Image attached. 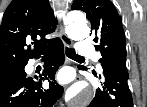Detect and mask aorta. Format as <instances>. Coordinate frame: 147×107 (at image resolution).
Returning <instances> with one entry per match:
<instances>
[{
  "mask_svg": "<svg viewBox=\"0 0 147 107\" xmlns=\"http://www.w3.org/2000/svg\"><path fill=\"white\" fill-rule=\"evenodd\" d=\"M67 35L74 40H83L90 34V29L84 20L74 18L66 26ZM94 89L86 82H78L70 89L72 104L75 107H84L92 100Z\"/></svg>",
  "mask_w": 147,
  "mask_h": 107,
  "instance_id": "762f6f07",
  "label": "aorta"
}]
</instances>
